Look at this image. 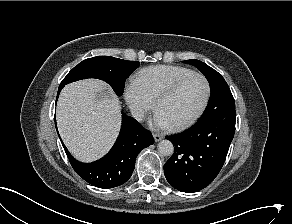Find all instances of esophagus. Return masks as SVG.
<instances>
[{
  "mask_svg": "<svg viewBox=\"0 0 292 224\" xmlns=\"http://www.w3.org/2000/svg\"><path fill=\"white\" fill-rule=\"evenodd\" d=\"M153 138H154V141H155V142H158V141H160V140L163 139V136L160 135V134H156V133H154V134H153Z\"/></svg>",
  "mask_w": 292,
  "mask_h": 224,
  "instance_id": "34e87169",
  "label": "esophagus"
}]
</instances>
